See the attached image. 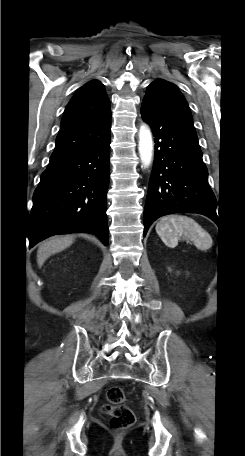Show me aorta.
<instances>
[{
  "label": "aorta",
  "instance_id": "1",
  "mask_svg": "<svg viewBox=\"0 0 245 456\" xmlns=\"http://www.w3.org/2000/svg\"><path fill=\"white\" fill-rule=\"evenodd\" d=\"M138 149L144 167L149 166L152 159L153 141L151 131L146 125L140 127Z\"/></svg>",
  "mask_w": 245,
  "mask_h": 456
}]
</instances>
